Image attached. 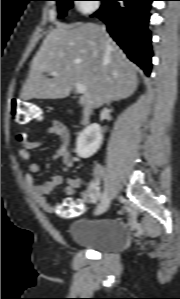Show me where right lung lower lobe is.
Returning a JSON list of instances; mask_svg holds the SVG:
<instances>
[{"mask_svg": "<svg viewBox=\"0 0 180 299\" xmlns=\"http://www.w3.org/2000/svg\"><path fill=\"white\" fill-rule=\"evenodd\" d=\"M121 1L102 0L100 9L94 15L107 24L108 32L128 58L149 76L152 50L147 25L153 0Z\"/></svg>", "mask_w": 180, "mask_h": 299, "instance_id": "obj_1", "label": "right lung lower lobe"}]
</instances>
